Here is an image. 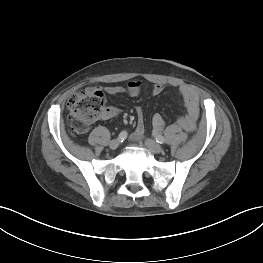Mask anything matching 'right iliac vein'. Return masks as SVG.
<instances>
[{"label": "right iliac vein", "mask_w": 263, "mask_h": 263, "mask_svg": "<svg viewBox=\"0 0 263 263\" xmlns=\"http://www.w3.org/2000/svg\"><path fill=\"white\" fill-rule=\"evenodd\" d=\"M119 144H120V140L114 139L110 142L109 147H110V149L115 150L119 147Z\"/></svg>", "instance_id": "63e3f726"}]
</instances>
